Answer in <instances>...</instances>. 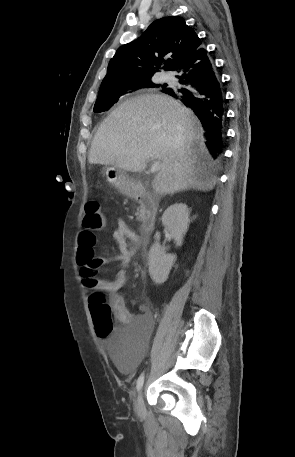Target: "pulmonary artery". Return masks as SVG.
I'll use <instances>...</instances> for the list:
<instances>
[{
    "mask_svg": "<svg viewBox=\"0 0 295 457\" xmlns=\"http://www.w3.org/2000/svg\"><path fill=\"white\" fill-rule=\"evenodd\" d=\"M170 78H171V76L169 74L164 75V79L169 80Z\"/></svg>",
    "mask_w": 295,
    "mask_h": 457,
    "instance_id": "1",
    "label": "pulmonary artery"
}]
</instances>
